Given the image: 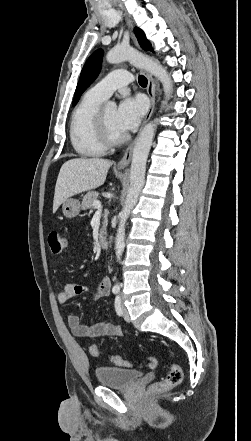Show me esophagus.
<instances>
[{
	"mask_svg": "<svg viewBox=\"0 0 251 441\" xmlns=\"http://www.w3.org/2000/svg\"><path fill=\"white\" fill-rule=\"evenodd\" d=\"M127 24L129 27H132V23L129 19H127ZM145 76L147 77L148 80V84H147V94L149 96L150 99V108L145 116V120H144V124H146L148 122V120L151 118L154 108H155V97H156V82L154 80V78L152 77V75L150 73H148L147 71H144ZM136 140H134L132 143H130L127 148L124 151V155L121 158V160L117 163V167L120 169H124L126 168L131 161L132 158V153H133V148L135 145Z\"/></svg>",
	"mask_w": 251,
	"mask_h": 441,
	"instance_id": "1",
	"label": "esophagus"
}]
</instances>
